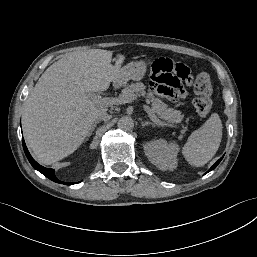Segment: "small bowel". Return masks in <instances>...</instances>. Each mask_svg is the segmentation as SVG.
Segmentation results:
<instances>
[{
  "label": "small bowel",
  "instance_id": "obj_1",
  "mask_svg": "<svg viewBox=\"0 0 257 257\" xmlns=\"http://www.w3.org/2000/svg\"><path fill=\"white\" fill-rule=\"evenodd\" d=\"M143 68L150 72L146 77V87L151 99L158 100L162 95L169 100L186 98L185 90L193 83L192 70L187 63L166 54L149 55Z\"/></svg>",
  "mask_w": 257,
  "mask_h": 257
}]
</instances>
